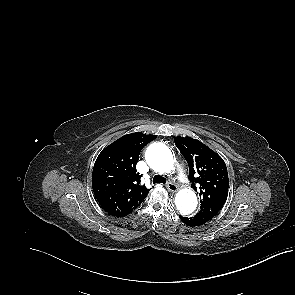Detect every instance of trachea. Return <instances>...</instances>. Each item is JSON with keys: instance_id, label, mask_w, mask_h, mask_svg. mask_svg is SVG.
Returning a JSON list of instances; mask_svg holds the SVG:
<instances>
[{"instance_id": "3493384b", "label": "trachea", "mask_w": 295, "mask_h": 295, "mask_svg": "<svg viewBox=\"0 0 295 295\" xmlns=\"http://www.w3.org/2000/svg\"><path fill=\"white\" fill-rule=\"evenodd\" d=\"M153 183H162V184H165L166 183V178L161 176V175H155L153 177Z\"/></svg>"}]
</instances>
